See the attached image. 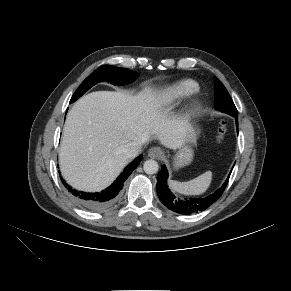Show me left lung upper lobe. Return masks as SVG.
Segmentation results:
<instances>
[{
    "label": "left lung upper lobe",
    "mask_w": 291,
    "mask_h": 291,
    "mask_svg": "<svg viewBox=\"0 0 291 291\" xmlns=\"http://www.w3.org/2000/svg\"><path fill=\"white\" fill-rule=\"evenodd\" d=\"M215 102L214 107L230 115H238L237 109L232 101L231 96L224 85L215 77Z\"/></svg>",
    "instance_id": "left-lung-upper-lobe-1"
}]
</instances>
